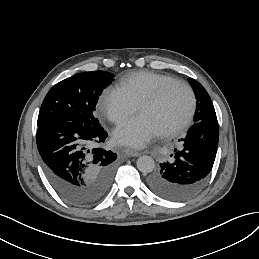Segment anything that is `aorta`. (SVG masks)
<instances>
[{
    "label": "aorta",
    "mask_w": 259,
    "mask_h": 259,
    "mask_svg": "<svg viewBox=\"0 0 259 259\" xmlns=\"http://www.w3.org/2000/svg\"><path fill=\"white\" fill-rule=\"evenodd\" d=\"M136 164L137 169L144 174L152 172L155 168L154 159L150 156L139 157Z\"/></svg>",
    "instance_id": "762f6f07"
}]
</instances>
